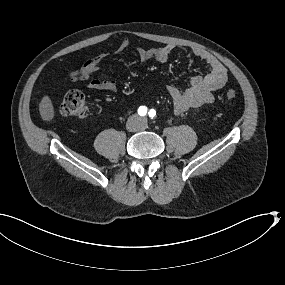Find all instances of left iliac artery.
<instances>
[{
	"label": "left iliac artery",
	"mask_w": 285,
	"mask_h": 285,
	"mask_svg": "<svg viewBox=\"0 0 285 285\" xmlns=\"http://www.w3.org/2000/svg\"><path fill=\"white\" fill-rule=\"evenodd\" d=\"M149 117L153 118L156 115V111L154 109H151L149 112Z\"/></svg>",
	"instance_id": "44dca946"
}]
</instances>
